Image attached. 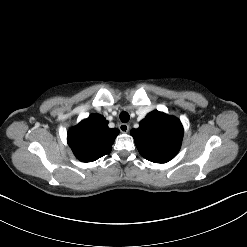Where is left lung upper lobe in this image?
Returning a JSON list of instances; mask_svg holds the SVG:
<instances>
[{
  "mask_svg": "<svg viewBox=\"0 0 247 247\" xmlns=\"http://www.w3.org/2000/svg\"><path fill=\"white\" fill-rule=\"evenodd\" d=\"M130 134L145 159L155 163H166L180 150L183 127L177 118L155 110Z\"/></svg>",
  "mask_w": 247,
  "mask_h": 247,
  "instance_id": "1",
  "label": "left lung upper lobe"
}]
</instances>
